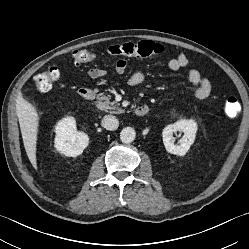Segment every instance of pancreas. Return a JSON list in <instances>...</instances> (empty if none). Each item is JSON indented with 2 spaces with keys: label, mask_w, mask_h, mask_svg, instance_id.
<instances>
[{
  "label": "pancreas",
  "mask_w": 249,
  "mask_h": 249,
  "mask_svg": "<svg viewBox=\"0 0 249 249\" xmlns=\"http://www.w3.org/2000/svg\"><path fill=\"white\" fill-rule=\"evenodd\" d=\"M96 106L98 109L113 114L122 113L123 110L116 104L115 101H111V95H104L100 93L97 95Z\"/></svg>",
  "instance_id": "1"
}]
</instances>
